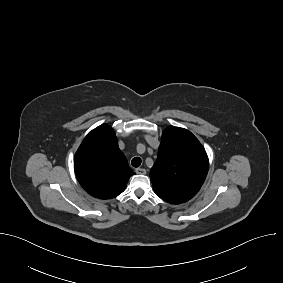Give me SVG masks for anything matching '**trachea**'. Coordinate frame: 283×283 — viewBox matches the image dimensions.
Returning a JSON list of instances; mask_svg holds the SVG:
<instances>
[{
    "label": "trachea",
    "instance_id": "trachea-1",
    "mask_svg": "<svg viewBox=\"0 0 283 283\" xmlns=\"http://www.w3.org/2000/svg\"><path fill=\"white\" fill-rule=\"evenodd\" d=\"M131 164L133 167H139L141 165V158L135 157L132 159Z\"/></svg>",
    "mask_w": 283,
    "mask_h": 283
}]
</instances>
